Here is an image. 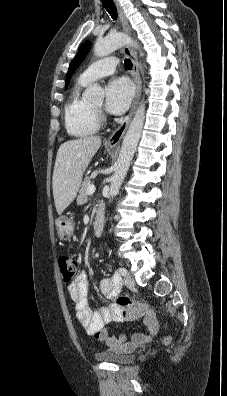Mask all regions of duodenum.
<instances>
[{
  "instance_id": "obj_1",
  "label": "duodenum",
  "mask_w": 227,
  "mask_h": 396,
  "mask_svg": "<svg viewBox=\"0 0 227 396\" xmlns=\"http://www.w3.org/2000/svg\"><path fill=\"white\" fill-rule=\"evenodd\" d=\"M94 232L96 235H100L103 230V218L102 216H98L94 221Z\"/></svg>"
}]
</instances>
